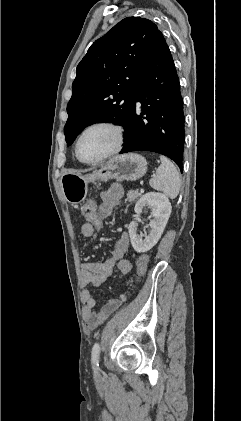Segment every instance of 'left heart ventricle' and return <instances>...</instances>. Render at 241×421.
<instances>
[{"label": "left heart ventricle", "instance_id": "b2bd125f", "mask_svg": "<svg viewBox=\"0 0 241 421\" xmlns=\"http://www.w3.org/2000/svg\"><path fill=\"white\" fill-rule=\"evenodd\" d=\"M115 143V135L108 128H95L81 139L79 153L87 161L96 160L107 153Z\"/></svg>", "mask_w": 241, "mask_h": 421}]
</instances>
